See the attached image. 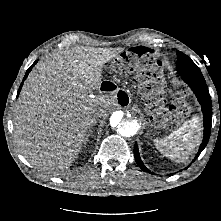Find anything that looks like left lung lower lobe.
Masks as SVG:
<instances>
[{
  "label": "left lung lower lobe",
  "mask_w": 221,
  "mask_h": 221,
  "mask_svg": "<svg viewBox=\"0 0 221 221\" xmlns=\"http://www.w3.org/2000/svg\"><path fill=\"white\" fill-rule=\"evenodd\" d=\"M182 79L188 84V86L195 93L199 103L202 107L203 118H204V137L203 141L199 147V151L193 161L200 155L203 149L206 147L211 130V121H212V109H211V97L209 95L208 87L206 85L205 79L202 74L195 73H185L181 74ZM134 156L137 165L143 170L148 171L144 166L138 151L137 143L134 146Z\"/></svg>",
  "instance_id": "obj_1"
}]
</instances>
